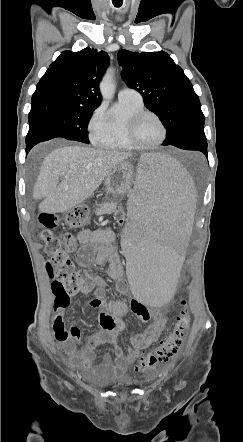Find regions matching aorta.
Instances as JSON below:
<instances>
[{"mask_svg": "<svg viewBox=\"0 0 243 442\" xmlns=\"http://www.w3.org/2000/svg\"><path fill=\"white\" fill-rule=\"evenodd\" d=\"M100 91L104 98L110 99L112 97L114 92L112 71H108L103 77L100 84Z\"/></svg>", "mask_w": 243, "mask_h": 442, "instance_id": "762f6f07", "label": "aorta"}]
</instances>
